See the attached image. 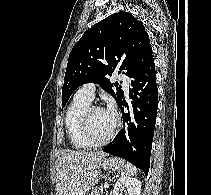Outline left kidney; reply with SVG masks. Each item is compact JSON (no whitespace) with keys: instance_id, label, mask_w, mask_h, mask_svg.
<instances>
[{"instance_id":"left-kidney-1","label":"left kidney","mask_w":211,"mask_h":195,"mask_svg":"<svg viewBox=\"0 0 211 195\" xmlns=\"http://www.w3.org/2000/svg\"><path fill=\"white\" fill-rule=\"evenodd\" d=\"M141 182L137 178L121 177L114 185L113 195H140Z\"/></svg>"}]
</instances>
